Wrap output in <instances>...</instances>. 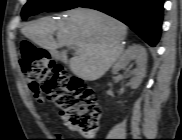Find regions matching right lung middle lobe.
<instances>
[{"label":"right lung middle lobe","instance_id":"right-lung-middle-lobe-1","mask_svg":"<svg viewBox=\"0 0 182 140\" xmlns=\"http://www.w3.org/2000/svg\"><path fill=\"white\" fill-rule=\"evenodd\" d=\"M86 0H28L22 9L21 16L26 20L29 16L41 12L62 11L79 7Z\"/></svg>","mask_w":182,"mask_h":140}]
</instances>
